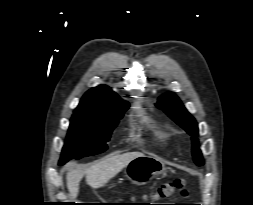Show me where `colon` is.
<instances>
[{
  "mask_svg": "<svg viewBox=\"0 0 253 205\" xmlns=\"http://www.w3.org/2000/svg\"><path fill=\"white\" fill-rule=\"evenodd\" d=\"M185 193H186L185 181L183 179H176L172 182L161 185L146 197H149L153 200H159V199L173 198L178 194L184 195Z\"/></svg>",
  "mask_w": 253,
  "mask_h": 205,
  "instance_id": "1",
  "label": "colon"
}]
</instances>
